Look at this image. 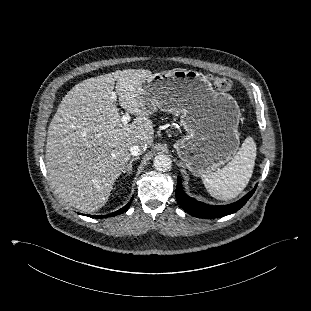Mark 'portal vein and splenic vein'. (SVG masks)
<instances>
[{
    "label": "portal vein and splenic vein",
    "mask_w": 311,
    "mask_h": 311,
    "mask_svg": "<svg viewBox=\"0 0 311 311\" xmlns=\"http://www.w3.org/2000/svg\"><path fill=\"white\" fill-rule=\"evenodd\" d=\"M115 94H113V98H115ZM130 121V115L128 113H125L122 117H121V122L123 124H127Z\"/></svg>",
    "instance_id": "obj_1"
}]
</instances>
